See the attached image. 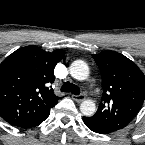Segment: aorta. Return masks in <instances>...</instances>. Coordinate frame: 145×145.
<instances>
[{
    "instance_id": "762f6f07",
    "label": "aorta",
    "mask_w": 145,
    "mask_h": 145,
    "mask_svg": "<svg viewBox=\"0 0 145 145\" xmlns=\"http://www.w3.org/2000/svg\"><path fill=\"white\" fill-rule=\"evenodd\" d=\"M70 74L76 80H85L89 76V67L83 60H75L70 65ZM80 111L85 116H92L96 111V105L92 100H85L80 105Z\"/></svg>"
}]
</instances>
